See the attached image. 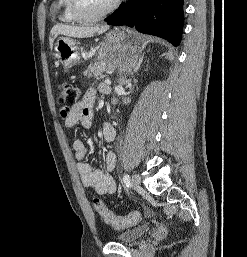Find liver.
<instances>
[{
  "instance_id": "1",
  "label": "liver",
  "mask_w": 247,
  "mask_h": 257,
  "mask_svg": "<svg viewBox=\"0 0 247 257\" xmlns=\"http://www.w3.org/2000/svg\"><path fill=\"white\" fill-rule=\"evenodd\" d=\"M109 29V26H92V27H80L64 24H57L51 29V37L49 39L50 48L53 47L54 39L58 35H64L74 38H87L93 36L95 33L101 34Z\"/></svg>"
}]
</instances>
